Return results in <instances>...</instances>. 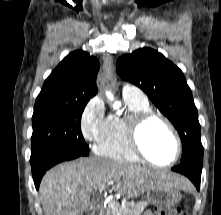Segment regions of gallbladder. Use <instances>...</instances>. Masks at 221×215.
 Segmentation results:
<instances>
[{"instance_id":"bac80fb5","label":"gallbladder","mask_w":221,"mask_h":215,"mask_svg":"<svg viewBox=\"0 0 221 215\" xmlns=\"http://www.w3.org/2000/svg\"><path fill=\"white\" fill-rule=\"evenodd\" d=\"M92 206H93V204L91 203V204L89 205L88 209L86 210L85 215H90V214H91V212H92Z\"/></svg>"}]
</instances>
